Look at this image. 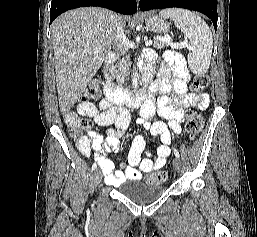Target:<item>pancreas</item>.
<instances>
[{
  "label": "pancreas",
  "instance_id": "cf45deb5",
  "mask_svg": "<svg viewBox=\"0 0 257 237\" xmlns=\"http://www.w3.org/2000/svg\"><path fill=\"white\" fill-rule=\"evenodd\" d=\"M153 47L156 49H164L167 47V44L160 41L159 39L153 40ZM129 57L126 56L122 60H120L116 65L112 66L110 69L111 76L116 79L117 82L123 83L125 77L129 74L130 67Z\"/></svg>",
  "mask_w": 257,
  "mask_h": 237
}]
</instances>
